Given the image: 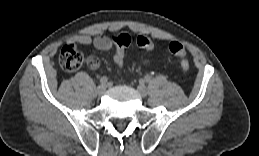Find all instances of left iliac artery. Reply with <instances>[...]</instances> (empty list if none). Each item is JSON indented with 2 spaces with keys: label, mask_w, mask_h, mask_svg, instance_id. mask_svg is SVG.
Returning <instances> with one entry per match:
<instances>
[{
  "label": "left iliac artery",
  "mask_w": 259,
  "mask_h": 156,
  "mask_svg": "<svg viewBox=\"0 0 259 156\" xmlns=\"http://www.w3.org/2000/svg\"><path fill=\"white\" fill-rule=\"evenodd\" d=\"M145 81H146V82H149V81H150V76L146 75V76H145Z\"/></svg>",
  "instance_id": "left-iliac-artery-1"
}]
</instances>
